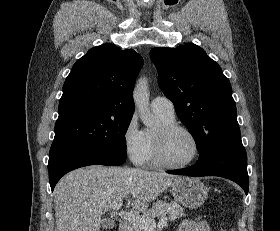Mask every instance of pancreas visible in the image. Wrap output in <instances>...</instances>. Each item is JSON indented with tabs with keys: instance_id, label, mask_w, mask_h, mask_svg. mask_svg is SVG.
<instances>
[{
	"instance_id": "cf45deb5",
	"label": "pancreas",
	"mask_w": 280,
	"mask_h": 231,
	"mask_svg": "<svg viewBox=\"0 0 280 231\" xmlns=\"http://www.w3.org/2000/svg\"><path fill=\"white\" fill-rule=\"evenodd\" d=\"M168 213L169 219H177V217H182L184 215V207H181L177 201H156L153 203L151 209L148 211H142L143 217L145 219H153V217H159V215H166ZM128 231H146L142 227V223H129Z\"/></svg>"
}]
</instances>
